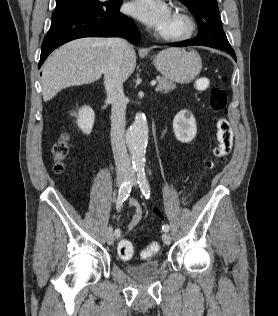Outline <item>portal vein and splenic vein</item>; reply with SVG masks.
I'll return each instance as SVG.
<instances>
[{
    "instance_id": "portal-vein-and-splenic-vein-1",
    "label": "portal vein and splenic vein",
    "mask_w": 278,
    "mask_h": 316,
    "mask_svg": "<svg viewBox=\"0 0 278 316\" xmlns=\"http://www.w3.org/2000/svg\"><path fill=\"white\" fill-rule=\"evenodd\" d=\"M155 85H156V81L155 80L151 81V86H155Z\"/></svg>"
}]
</instances>
